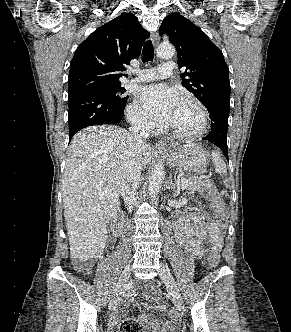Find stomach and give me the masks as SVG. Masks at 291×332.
<instances>
[{
  "label": "stomach",
  "mask_w": 291,
  "mask_h": 332,
  "mask_svg": "<svg viewBox=\"0 0 291 332\" xmlns=\"http://www.w3.org/2000/svg\"><path fill=\"white\" fill-rule=\"evenodd\" d=\"M169 164L181 171L202 174L209 163V154L196 144H170L165 150Z\"/></svg>",
  "instance_id": "stomach-1"
}]
</instances>
